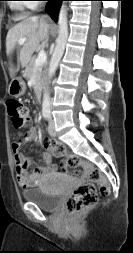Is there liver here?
<instances>
[{
    "mask_svg": "<svg viewBox=\"0 0 133 253\" xmlns=\"http://www.w3.org/2000/svg\"><path fill=\"white\" fill-rule=\"evenodd\" d=\"M49 24L43 17H29L12 27L6 37V53L10 55L19 39L26 38L20 50L19 61L25 67L31 59L33 52L38 48L40 42L48 36ZM10 75L14 77L15 71L10 68Z\"/></svg>",
    "mask_w": 133,
    "mask_h": 253,
    "instance_id": "1",
    "label": "liver"
}]
</instances>
